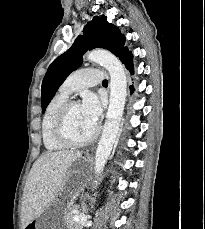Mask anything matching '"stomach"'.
Segmentation results:
<instances>
[{"instance_id":"obj_1","label":"stomach","mask_w":205,"mask_h":229,"mask_svg":"<svg viewBox=\"0 0 205 229\" xmlns=\"http://www.w3.org/2000/svg\"><path fill=\"white\" fill-rule=\"evenodd\" d=\"M89 163L90 159L86 156L73 165V168L70 169L68 173L66 181L67 191L69 193L67 191L64 192L62 200H59L57 197L39 217L32 220L25 227L26 229H67V224L64 219V204L69 197L77 194V191L85 182Z\"/></svg>"}]
</instances>
